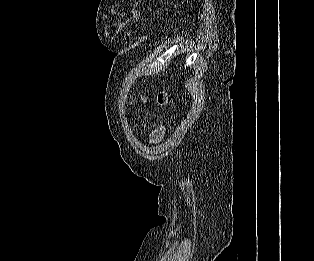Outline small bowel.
<instances>
[{"mask_svg":"<svg viewBox=\"0 0 314 261\" xmlns=\"http://www.w3.org/2000/svg\"><path fill=\"white\" fill-rule=\"evenodd\" d=\"M162 136H163V129L157 128L152 131L150 138L153 142H159Z\"/></svg>","mask_w":314,"mask_h":261,"instance_id":"1","label":"small bowel"}]
</instances>
